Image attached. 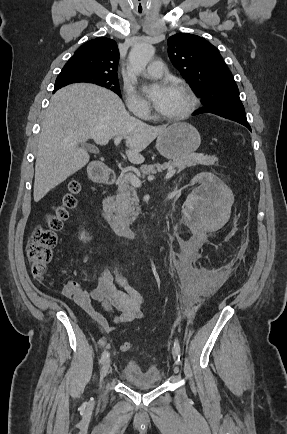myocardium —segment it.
Masks as SVG:
<instances>
[{"mask_svg":"<svg viewBox=\"0 0 287 434\" xmlns=\"http://www.w3.org/2000/svg\"><path fill=\"white\" fill-rule=\"evenodd\" d=\"M173 86L180 89L187 97L188 104L184 111H182L180 114L173 115V116H166L163 114H158V117L164 121L168 122H180L185 119H187L192 113L196 110L198 105V99L194 91L191 89V87L182 81H173Z\"/></svg>","mask_w":287,"mask_h":434,"instance_id":"obj_1","label":"myocardium"}]
</instances>
